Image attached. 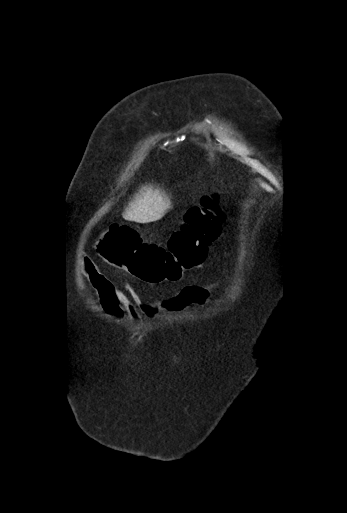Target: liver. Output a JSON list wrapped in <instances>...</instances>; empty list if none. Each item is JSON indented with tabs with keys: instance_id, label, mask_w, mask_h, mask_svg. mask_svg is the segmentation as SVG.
I'll use <instances>...</instances> for the list:
<instances>
[{
	"instance_id": "obj_1",
	"label": "liver",
	"mask_w": 347,
	"mask_h": 513,
	"mask_svg": "<svg viewBox=\"0 0 347 513\" xmlns=\"http://www.w3.org/2000/svg\"><path fill=\"white\" fill-rule=\"evenodd\" d=\"M169 207L170 200L164 193H160L158 189L148 188L145 192L140 191V194L136 195L123 217L126 220H131L134 216L156 218L164 214Z\"/></svg>"
}]
</instances>
